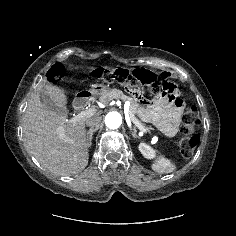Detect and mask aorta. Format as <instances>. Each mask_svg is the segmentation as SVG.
Wrapping results in <instances>:
<instances>
[{
	"label": "aorta",
	"instance_id": "1",
	"mask_svg": "<svg viewBox=\"0 0 236 236\" xmlns=\"http://www.w3.org/2000/svg\"><path fill=\"white\" fill-rule=\"evenodd\" d=\"M122 124V116L120 113L113 111L109 112L105 117V125L109 129H117Z\"/></svg>",
	"mask_w": 236,
	"mask_h": 236
}]
</instances>
